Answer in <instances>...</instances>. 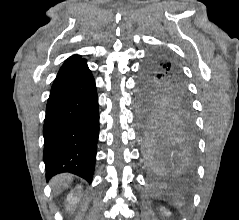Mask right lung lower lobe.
<instances>
[{
    "label": "right lung lower lobe",
    "mask_w": 239,
    "mask_h": 220,
    "mask_svg": "<svg viewBox=\"0 0 239 220\" xmlns=\"http://www.w3.org/2000/svg\"><path fill=\"white\" fill-rule=\"evenodd\" d=\"M46 179L70 172L92 180L99 136L95 80L85 60L59 71L43 128Z\"/></svg>",
    "instance_id": "1"
}]
</instances>
